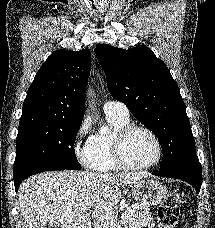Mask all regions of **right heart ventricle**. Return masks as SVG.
<instances>
[{
	"mask_svg": "<svg viewBox=\"0 0 215 228\" xmlns=\"http://www.w3.org/2000/svg\"><path fill=\"white\" fill-rule=\"evenodd\" d=\"M107 119L111 132L92 135L86 143L87 165L96 172H111L119 169L114 160L112 142L116 132L130 122L129 116L123 117L115 113L107 114Z\"/></svg>",
	"mask_w": 215,
	"mask_h": 228,
	"instance_id": "e07e8e85",
	"label": "right heart ventricle"
}]
</instances>
